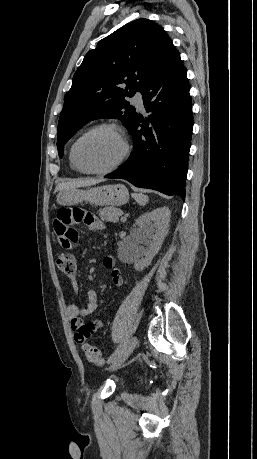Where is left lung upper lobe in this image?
I'll return each instance as SVG.
<instances>
[{
    "instance_id": "left-lung-upper-lobe-1",
    "label": "left lung upper lobe",
    "mask_w": 257,
    "mask_h": 459,
    "mask_svg": "<svg viewBox=\"0 0 257 459\" xmlns=\"http://www.w3.org/2000/svg\"><path fill=\"white\" fill-rule=\"evenodd\" d=\"M174 48L161 26L137 19L89 51L64 98L57 136L60 158L64 144L92 120L116 118L129 128L137 113L125 98L142 92Z\"/></svg>"
}]
</instances>
